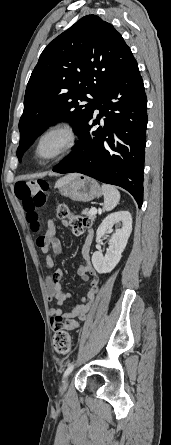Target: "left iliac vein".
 <instances>
[{"label":"left iliac vein","instance_id":"left-iliac-vein-1","mask_svg":"<svg viewBox=\"0 0 171 445\" xmlns=\"http://www.w3.org/2000/svg\"><path fill=\"white\" fill-rule=\"evenodd\" d=\"M71 373V372H70ZM69 373V374H70ZM69 374L68 375H66L65 377H64V381H63V384H62V386H61V391H64L65 390V387H66V385H65V380H66V378L69 376Z\"/></svg>","mask_w":171,"mask_h":445}]
</instances>
